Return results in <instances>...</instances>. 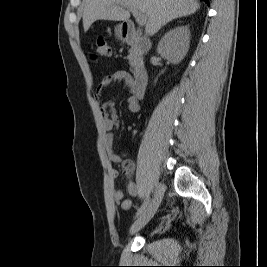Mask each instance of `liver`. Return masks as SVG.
Listing matches in <instances>:
<instances>
[{
    "instance_id": "1",
    "label": "liver",
    "mask_w": 267,
    "mask_h": 267,
    "mask_svg": "<svg viewBox=\"0 0 267 267\" xmlns=\"http://www.w3.org/2000/svg\"><path fill=\"white\" fill-rule=\"evenodd\" d=\"M121 4L136 8L146 16L145 31L150 36L170 21L192 15L200 9L196 0H83L84 31H88L97 20H128L130 12Z\"/></svg>"
}]
</instances>
